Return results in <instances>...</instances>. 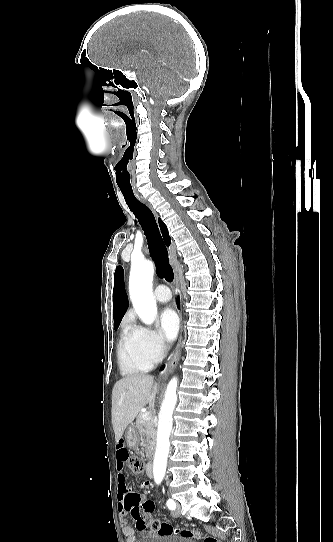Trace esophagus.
Instances as JSON below:
<instances>
[{
    "mask_svg": "<svg viewBox=\"0 0 333 542\" xmlns=\"http://www.w3.org/2000/svg\"><path fill=\"white\" fill-rule=\"evenodd\" d=\"M136 195L139 196V193L136 192ZM148 206L152 209L150 204H148ZM154 213H155V215H157L155 211H154ZM171 257L173 258L174 256H171ZM174 273H175V289H176V293L179 294V276H178L177 271H174ZM181 343H182V337H180V339H179V341H178V343H177V345L175 347V350H174L173 354L171 355L170 359L167 362V370L168 371L173 370L176 367V365L178 364V361H179L180 355H181ZM164 375H165L164 373H161L160 377H164Z\"/></svg>",
    "mask_w": 333,
    "mask_h": 542,
    "instance_id": "obj_1",
    "label": "esophagus"
}]
</instances>
